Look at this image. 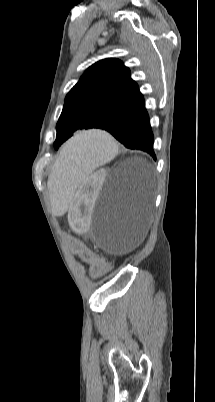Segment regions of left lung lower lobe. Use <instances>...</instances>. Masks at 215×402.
I'll list each match as a JSON object with an SVG mask.
<instances>
[{"label": "left lung lower lobe", "instance_id": "1", "mask_svg": "<svg viewBox=\"0 0 215 402\" xmlns=\"http://www.w3.org/2000/svg\"><path fill=\"white\" fill-rule=\"evenodd\" d=\"M96 128L108 131L125 147L145 151L156 160L154 137L142 94Z\"/></svg>", "mask_w": 215, "mask_h": 402}]
</instances>
